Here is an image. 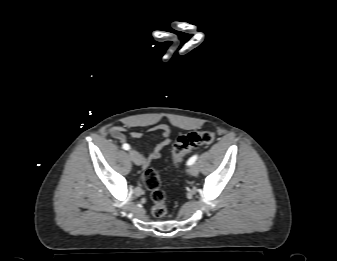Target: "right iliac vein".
I'll use <instances>...</instances> for the list:
<instances>
[{
	"mask_svg": "<svg viewBox=\"0 0 337 261\" xmlns=\"http://www.w3.org/2000/svg\"><path fill=\"white\" fill-rule=\"evenodd\" d=\"M129 156L131 160L136 164V165H141V157L140 154L135 151V150H130L129 151Z\"/></svg>",
	"mask_w": 337,
	"mask_h": 261,
	"instance_id": "right-iliac-vein-1",
	"label": "right iliac vein"
}]
</instances>
